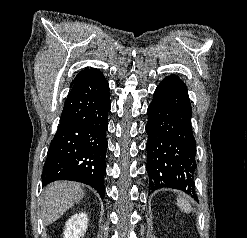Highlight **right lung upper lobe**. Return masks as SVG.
<instances>
[{
	"instance_id": "obj_1",
	"label": "right lung upper lobe",
	"mask_w": 247,
	"mask_h": 238,
	"mask_svg": "<svg viewBox=\"0 0 247 238\" xmlns=\"http://www.w3.org/2000/svg\"><path fill=\"white\" fill-rule=\"evenodd\" d=\"M93 68L89 69L88 67L85 68V70L81 71L80 73H78V75L76 76V78L72 81L71 86L75 83V81L77 79H79L81 76H83L85 73L89 72L90 70H92Z\"/></svg>"
}]
</instances>
